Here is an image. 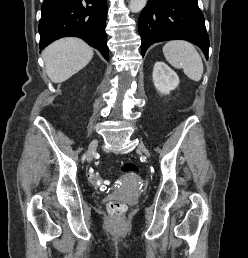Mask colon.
Listing matches in <instances>:
<instances>
[{
	"label": "colon",
	"mask_w": 248,
	"mask_h": 258,
	"mask_svg": "<svg viewBox=\"0 0 248 258\" xmlns=\"http://www.w3.org/2000/svg\"><path fill=\"white\" fill-rule=\"evenodd\" d=\"M121 168L124 172H127V173H131V174H134V175H139L140 174L139 167L134 163H130V162L124 163ZM88 180H90L91 183L95 187L99 188L100 190H104L107 187V181L104 180L100 176V174L97 173V172H93V171L90 172L89 175H88ZM108 210H109V213L113 217L120 218L125 213L126 206L123 203L118 202V201H110L108 203Z\"/></svg>",
	"instance_id": "5ec220e1"
}]
</instances>
